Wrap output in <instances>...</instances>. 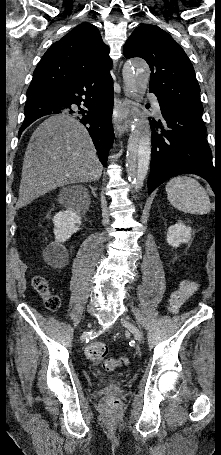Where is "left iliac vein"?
Returning <instances> with one entry per match:
<instances>
[{
    "instance_id": "4c4485c4",
    "label": "left iliac vein",
    "mask_w": 221,
    "mask_h": 455,
    "mask_svg": "<svg viewBox=\"0 0 221 455\" xmlns=\"http://www.w3.org/2000/svg\"><path fill=\"white\" fill-rule=\"evenodd\" d=\"M121 321H122V324L124 325V327L133 334L134 338L137 341L141 342L143 340V335H142L141 331L133 323L128 321L126 318H122Z\"/></svg>"
}]
</instances>
